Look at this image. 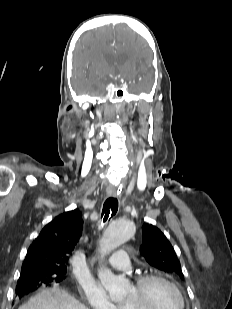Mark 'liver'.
<instances>
[{
	"mask_svg": "<svg viewBox=\"0 0 232 309\" xmlns=\"http://www.w3.org/2000/svg\"><path fill=\"white\" fill-rule=\"evenodd\" d=\"M18 309H88L74 296L59 288L44 289Z\"/></svg>",
	"mask_w": 232,
	"mask_h": 309,
	"instance_id": "1",
	"label": "liver"
}]
</instances>
